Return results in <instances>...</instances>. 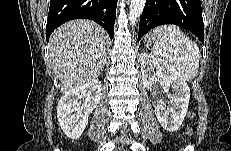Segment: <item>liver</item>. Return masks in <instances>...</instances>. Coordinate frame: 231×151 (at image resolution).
Returning <instances> with one entry per match:
<instances>
[{
	"mask_svg": "<svg viewBox=\"0 0 231 151\" xmlns=\"http://www.w3.org/2000/svg\"><path fill=\"white\" fill-rule=\"evenodd\" d=\"M108 43L105 30L90 20L67 22L52 33L49 57L62 94L100 75Z\"/></svg>",
	"mask_w": 231,
	"mask_h": 151,
	"instance_id": "liver-1",
	"label": "liver"
}]
</instances>
